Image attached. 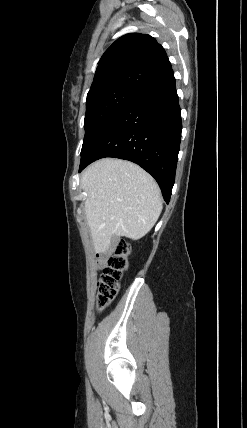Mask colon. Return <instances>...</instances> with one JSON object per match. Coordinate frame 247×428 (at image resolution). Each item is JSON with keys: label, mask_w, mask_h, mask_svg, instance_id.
<instances>
[{"label": "colon", "mask_w": 247, "mask_h": 428, "mask_svg": "<svg viewBox=\"0 0 247 428\" xmlns=\"http://www.w3.org/2000/svg\"><path fill=\"white\" fill-rule=\"evenodd\" d=\"M131 252L130 244L120 240L115 247L100 255L103 271L98 281V308L105 309L116 297L120 280L127 271L128 258Z\"/></svg>", "instance_id": "colon-1"}]
</instances>
